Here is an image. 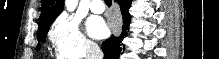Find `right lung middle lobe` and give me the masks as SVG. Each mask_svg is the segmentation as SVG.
<instances>
[{
  "label": "right lung middle lobe",
  "instance_id": "obj_1",
  "mask_svg": "<svg viewBox=\"0 0 219 59\" xmlns=\"http://www.w3.org/2000/svg\"><path fill=\"white\" fill-rule=\"evenodd\" d=\"M49 26H46V27H41L38 29V32H37V39L39 42H45V38H46V35H47V32L49 30ZM36 50L39 51L40 50V43H38L37 47H36Z\"/></svg>",
  "mask_w": 219,
  "mask_h": 59
}]
</instances>
